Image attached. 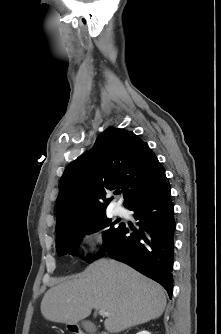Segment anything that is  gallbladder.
<instances>
[{
    "instance_id": "bac80fb5",
    "label": "gallbladder",
    "mask_w": 221,
    "mask_h": 334,
    "mask_svg": "<svg viewBox=\"0 0 221 334\" xmlns=\"http://www.w3.org/2000/svg\"><path fill=\"white\" fill-rule=\"evenodd\" d=\"M82 327L87 332H94V331H96V327L94 326V324L91 323V322H89V321H83L82 322Z\"/></svg>"
}]
</instances>
